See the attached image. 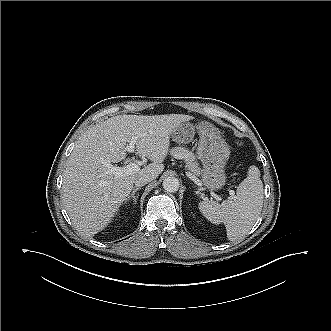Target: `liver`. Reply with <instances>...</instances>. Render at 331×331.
Returning <instances> with one entry per match:
<instances>
[{
  "mask_svg": "<svg viewBox=\"0 0 331 331\" xmlns=\"http://www.w3.org/2000/svg\"><path fill=\"white\" fill-rule=\"evenodd\" d=\"M189 115H120L91 127L76 144L63 173V200L73 223L92 236L113 219L127 200L138 176L156 179L164 170L170 136ZM135 140L136 153L151 164L132 175L108 173V165L126 158V145ZM113 166V165H112Z\"/></svg>",
  "mask_w": 331,
  "mask_h": 331,
  "instance_id": "6515ba94",
  "label": "liver"
}]
</instances>
